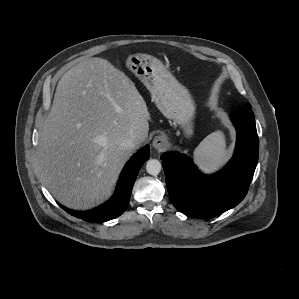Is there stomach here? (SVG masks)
Returning <instances> with one entry per match:
<instances>
[{"instance_id": "0dacf381", "label": "stomach", "mask_w": 299, "mask_h": 299, "mask_svg": "<svg viewBox=\"0 0 299 299\" xmlns=\"http://www.w3.org/2000/svg\"><path fill=\"white\" fill-rule=\"evenodd\" d=\"M127 67L142 81L163 115L179 125L186 137L193 134L194 102L188 90L156 58L130 55Z\"/></svg>"}]
</instances>
